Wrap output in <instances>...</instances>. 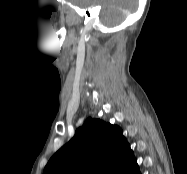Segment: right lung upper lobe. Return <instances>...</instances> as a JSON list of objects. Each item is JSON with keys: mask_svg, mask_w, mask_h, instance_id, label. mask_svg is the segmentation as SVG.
Masks as SVG:
<instances>
[{"mask_svg": "<svg viewBox=\"0 0 187 174\" xmlns=\"http://www.w3.org/2000/svg\"><path fill=\"white\" fill-rule=\"evenodd\" d=\"M138 165L120 127L88 118L43 174H132Z\"/></svg>", "mask_w": 187, "mask_h": 174, "instance_id": "cb5924a9", "label": "right lung upper lobe"}]
</instances>
